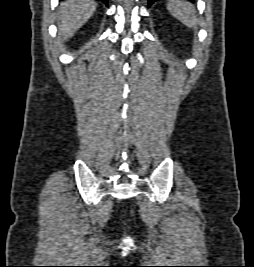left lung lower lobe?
<instances>
[{
  "mask_svg": "<svg viewBox=\"0 0 254 267\" xmlns=\"http://www.w3.org/2000/svg\"><path fill=\"white\" fill-rule=\"evenodd\" d=\"M156 1H158V0H148V5L149 6L152 5ZM188 1L193 2L194 0H188Z\"/></svg>",
  "mask_w": 254,
  "mask_h": 267,
  "instance_id": "0a47b994",
  "label": "left lung lower lobe"
}]
</instances>
